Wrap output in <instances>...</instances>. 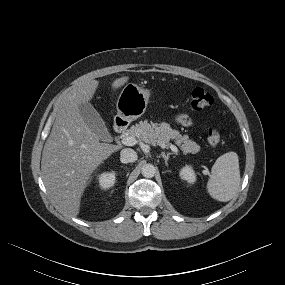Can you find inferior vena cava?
I'll return each mask as SVG.
<instances>
[{"mask_svg": "<svg viewBox=\"0 0 285 285\" xmlns=\"http://www.w3.org/2000/svg\"><path fill=\"white\" fill-rule=\"evenodd\" d=\"M120 157L121 162L123 163L135 162L138 158L137 153L130 148H125L121 150Z\"/></svg>", "mask_w": 285, "mask_h": 285, "instance_id": "1", "label": "inferior vena cava"}]
</instances>
